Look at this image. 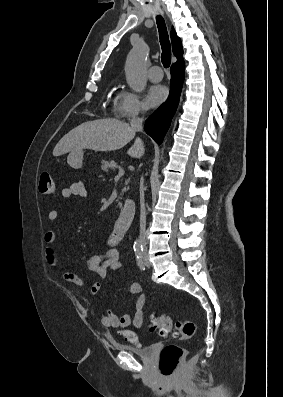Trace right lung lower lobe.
<instances>
[{
  "label": "right lung lower lobe",
  "instance_id": "98d812e1",
  "mask_svg": "<svg viewBox=\"0 0 283 397\" xmlns=\"http://www.w3.org/2000/svg\"><path fill=\"white\" fill-rule=\"evenodd\" d=\"M184 61L171 66V86L167 101L146 121L145 132L158 144H161L174 116L180 98L184 80Z\"/></svg>",
  "mask_w": 283,
  "mask_h": 397
}]
</instances>
